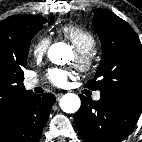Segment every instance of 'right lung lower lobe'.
<instances>
[{"mask_svg": "<svg viewBox=\"0 0 142 142\" xmlns=\"http://www.w3.org/2000/svg\"><path fill=\"white\" fill-rule=\"evenodd\" d=\"M54 102L53 94L28 93L18 104L10 122L0 131V141L38 142Z\"/></svg>", "mask_w": 142, "mask_h": 142, "instance_id": "obj_1", "label": "right lung lower lobe"}]
</instances>
